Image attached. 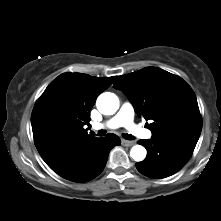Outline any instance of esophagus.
<instances>
[{"label":"esophagus","mask_w":221,"mask_h":221,"mask_svg":"<svg viewBox=\"0 0 221 221\" xmlns=\"http://www.w3.org/2000/svg\"><path fill=\"white\" fill-rule=\"evenodd\" d=\"M122 145L129 147V146L134 145V142H133V141H128V140H124V139H123V140H122Z\"/></svg>","instance_id":"obj_1"}]
</instances>
